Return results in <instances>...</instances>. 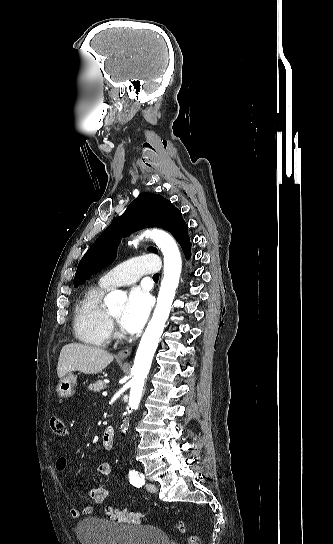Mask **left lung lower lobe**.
Listing matches in <instances>:
<instances>
[{"label": "left lung lower lobe", "instance_id": "1", "mask_svg": "<svg viewBox=\"0 0 333 544\" xmlns=\"http://www.w3.org/2000/svg\"><path fill=\"white\" fill-rule=\"evenodd\" d=\"M185 254H186L187 257H189L190 256V250L187 251Z\"/></svg>", "mask_w": 333, "mask_h": 544}]
</instances>
